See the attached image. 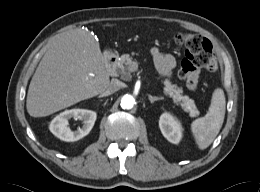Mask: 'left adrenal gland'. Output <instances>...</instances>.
<instances>
[{"label":"left adrenal gland","instance_id":"left-adrenal-gland-1","mask_svg":"<svg viewBox=\"0 0 260 192\" xmlns=\"http://www.w3.org/2000/svg\"><path fill=\"white\" fill-rule=\"evenodd\" d=\"M148 98L150 100V103H154L155 101H158V100H163L164 98L163 97H156V96H152V95H148Z\"/></svg>","mask_w":260,"mask_h":192}]
</instances>
